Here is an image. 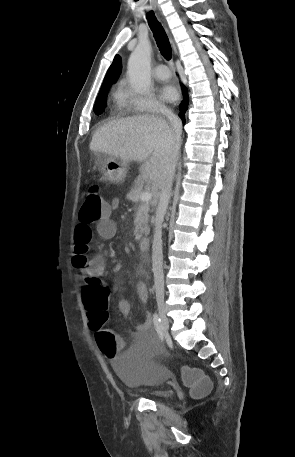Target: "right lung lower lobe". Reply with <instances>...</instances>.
I'll return each instance as SVG.
<instances>
[{
	"label": "right lung lower lobe",
	"instance_id": "98d812e1",
	"mask_svg": "<svg viewBox=\"0 0 295 457\" xmlns=\"http://www.w3.org/2000/svg\"><path fill=\"white\" fill-rule=\"evenodd\" d=\"M182 91H183L184 100L179 105V109H180L179 116L184 122V120H185L184 113L187 111V108H188L189 97H188L187 89L185 86H182Z\"/></svg>",
	"mask_w": 295,
	"mask_h": 457
}]
</instances>
